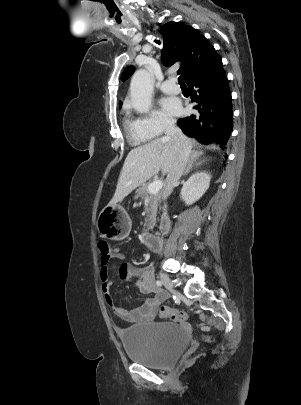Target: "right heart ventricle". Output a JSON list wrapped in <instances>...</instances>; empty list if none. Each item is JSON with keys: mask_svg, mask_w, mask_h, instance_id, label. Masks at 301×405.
Masks as SVG:
<instances>
[{"mask_svg": "<svg viewBox=\"0 0 301 405\" xmlns=\"http://www.w3.org/2000/svg\"><path fill=\"white\" fill-rule=\"evenodd\" d=\"M123 127L129 142L134 145L146 143L153 137L141 125L139 118L134 117L128 110L124 114Z\"/></svg>", "mask_w": 301, "mask_h": 405, "instance_id": "obj_1", "label": "right heart ventricle"}]
</instances>
